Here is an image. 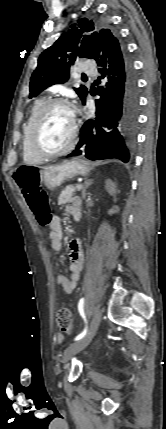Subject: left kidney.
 Instances as JSON below:
<instances>
[{"label":"left kidney","mask_w":166,"mask_h":429,"mask_svg":"<svg viewBox=\"0 0 166 429\" xmlns=\"http://www.w3.org/2000/svg\"><path fill=\"white\" fill-rule=\"evenodd\" d=\"M105 189L106 191L114 197V201H116V194H117V186L114 182H112L110 179L105 181ZM119 211V208L117 206H114L110 210H108V214L112 215Z\"/></svg>","instance_id":"5707ae66"}]
</instances>
